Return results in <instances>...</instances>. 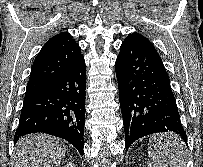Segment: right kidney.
<instances>
[{
	"label": "right kidney",
	"mask_w": 203,
	"mask_h": 167,
	"mask_svg": "<svg viewBox=\"0 0 203 167\" xmlns=\"http://www.w3.org/2000/svg\"><path fill=\"white\" fill-rule=\"evenodd\" d=\"M64 167H75L73 163H68L67 165H65Z\"/></svg>",
	"instance_id": "obj_1"
}]
</instances>
